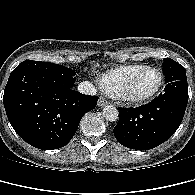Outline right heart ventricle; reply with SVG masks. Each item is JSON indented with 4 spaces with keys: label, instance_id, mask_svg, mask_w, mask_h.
Masks as SVG:
<instances>
[{
    "label": "right heart ventricle",
    "instance_id": "e07e8e85",
    "mask_svg": "<svg viewBox=\"0 0 195 195\" xmlns=\"http://www.w3.org/2000/svg\"><path fill=\"white\" fill-rule=\"evenodd\" d=\"M145 65H127L112 69L103 74L100 84L105 92L116 97L124 89L129 78Z\"/></svg>",
    "mask_w": 195,
    "mask_h": 195
}]
</instances>
